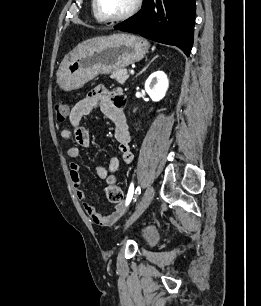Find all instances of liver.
I'll return each instance as SVG.
<instances>
[{
	"label": "liver",
	"instance_id": "obj_1",
	"mask_svg": "<svg viewBox=\"0 0 261 306\" xmlns=\"http://www.w3.org/2000/svg\"><path fill=\"white\" fill-rule=\"evenodd\" d=\"M100 38H101V37H96V38L88 39V40H86V41H84V42L78 44L77 47H76L73 51H75V50L81 48V47L84 46V45H87V44H89V43H92V42H94V41H96V40H98V39H100Z\"/></svg>",
	"mask_w": 261,
	"mask_h": 306
}]
</instances>
